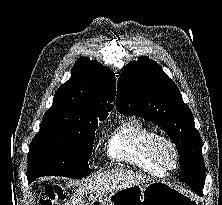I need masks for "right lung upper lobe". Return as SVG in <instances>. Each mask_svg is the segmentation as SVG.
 I'll use <instances>...</instances> for the list:
<instances>
[{"mask_svg":"<svg viewBox=\"0 0 222 205\" xmlns=\"http://www.w3.org/2000/svg\"><path fill=\"white\" fill-rule=\"evenodd\" d=\"M71 78L56 92L43 120H101L113 109L115 77L96 60L81 57L71 71Z\"/></svg>","mask_w":222,"mask_h":205,"instance_id":"cb5924a9","label":"right lung upper lobe"}]
</instances>
